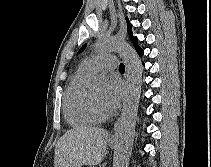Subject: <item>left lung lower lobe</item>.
Listing matches in <instances>:
<instances>
[{
  "mask_svg": "<svg viewBox=\"0 0 211 167\" xmlns=\"http://www.w3.org/2000/svg\"><path fill=\"white\" fill-rule=\"evenodd\" d=\"M136 50H137V52H138V54L140 55V56H142L143 55V50L139 47V48H136Z\"/></svg>",
  "mask_w": 211,
  "mask_h": 167,
  "instance_id": "1",
  "label": "left lung lower lobe"
}]
</instances>
